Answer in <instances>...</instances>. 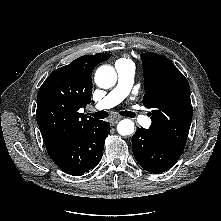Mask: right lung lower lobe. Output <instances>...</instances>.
Wrapping results in <instances>:
<instances>
[{"label": "right lung lower lobe", "instance_id": "98d812e1", "mask_svg": "<svg viewBox=\"0 0 221 221\" xmlns=\"http://www.w3.org/2000/svg\"><path fill=\"white\" fill-rule=\"evenodd\" d=\"M109 132L110 124L98 120L48 154L65 173L84 175L100 162Z\"/></svg>", "mask_w": 221, "mask_h": 221}]
</instances>
